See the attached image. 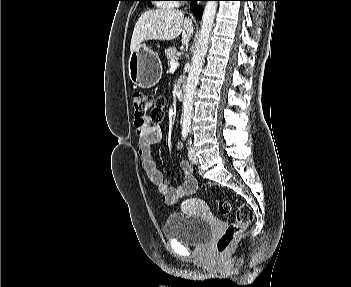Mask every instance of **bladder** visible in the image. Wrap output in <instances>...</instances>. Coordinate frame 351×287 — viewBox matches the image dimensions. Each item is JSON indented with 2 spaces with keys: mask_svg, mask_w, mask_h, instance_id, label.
I'll return each mask as SVG.
<instances>
[{
  "mask_svg": "<svg viewBox=\"0 0 351 287\" xmlns=\"http://www.w3.org/2000/svg\"><path fill=\"white\" fill-rule=\"evenodd\" d=\"M213 223L205 217H192L182 212L171 213L163 226L166 239L188 246H198L212 235Z\"/></svg>",
  "mask_w": 351,
  "mask_h": 287,
  "instance_id": "31cf9c89",
  "label": "bladder"
}]
</instances>
